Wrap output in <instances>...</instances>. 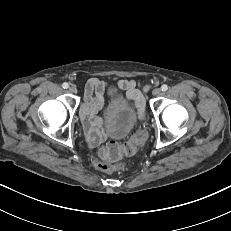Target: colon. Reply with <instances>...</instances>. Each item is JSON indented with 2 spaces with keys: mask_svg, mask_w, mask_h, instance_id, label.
I'll use <instances>...</instances> for the list:
<instances>
[{
  "mask_svg": "<svg viewBox=\"0 0 231 231\" xmlns=\"http://www.w3.org/2000/svg\"><path fill=\"white\" fill-rule=\"evenodd\" d=\"M147 133L139 128L132 137L125 143L120 144L109 141L99 150V158L94 160V166L105 173H114L124 169L121 165H114L113 162L120 159L123 155H133L145 143Z\"/></svg>",
  "mask_w": 231,
  "mask_h": 231,
  "instance_id": "colon-1",
  "label": "colon"
}]
</instances>
